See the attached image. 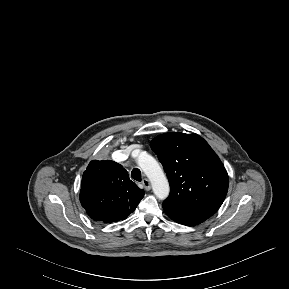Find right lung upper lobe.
<instances>
[{
    "label": "right lung upper lobe",
    "mask_w": 289,
    "mask_h": 289,
    "mask_svg": "<svg viewBox=\"0 0 289 289\" xmlns=\"http://www.w3.org/2000/svg\"><path fill=\"white\" fill-rule=\"evenodd\" d=\"M144 196L122 165L110 160H93L83 173L80 202L94 221L124 220Z\"/></svg>",
    "instance_id": "1"
}]
</instances>
